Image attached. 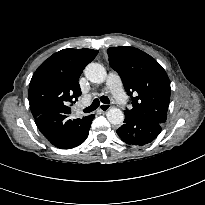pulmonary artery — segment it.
Instances as JSON below:
<instances>
[{"label": "pulmonary artery", "instance_id": "e3ab8cb5", "mask_svg": "<svg viewBox=\"0 0 205 205\" xmlns=\"http://www.w3.org/2000/svg\"><path fill=\"white\" fill-rule=\"evenodd\" d=\"M106 85L118 104L125 106L127 104V96L120 77L116 73H110L107 77Z\"/></svg>", "mask_w": 205, "mask_h": 205}]
</instances>
